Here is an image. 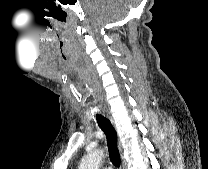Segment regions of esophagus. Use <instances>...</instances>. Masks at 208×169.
I'll use <instances>...</instances> for the list:
<instances>
[{
  "label": "esophagus",
  "instance_id": "1",
  "mask_svg": "<svg viewBox=\"0 0 208 169\" xmlns=\"http://www.w3.org/2000/svg\"><path fill=\"white\" fill-rule=\"evenodd\" d=\"M119 145H120V144H119ZM122 169H126V165H125L124 162L122 163Z\"/></svg>",
  "mask_w": 208,
  "mask_h": 169
}]
</instances>
